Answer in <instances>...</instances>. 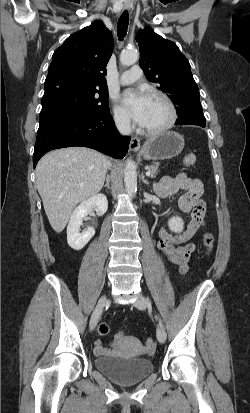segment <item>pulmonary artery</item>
Returning a JSON list of instances; mask_svg holds the SVG:
<instances>
[{"label": "pulmonary artery", "instance_id": "1", "mask_svg": "<svg viewBox=\"0 0 250 413\" xmlns=\"http://www.w3.org/2000/svg\"><path fill=\"white\" fill-rule=\"evenodd\" d=\"M141 68L139 66H133L128 71H125L120 77V83L122 85L132 84L141 77Z\"/></svg>", "mask_w": 250, "mask_h": 413}]
</instances>
